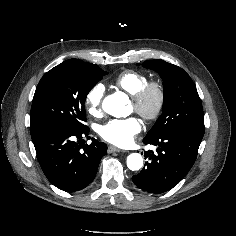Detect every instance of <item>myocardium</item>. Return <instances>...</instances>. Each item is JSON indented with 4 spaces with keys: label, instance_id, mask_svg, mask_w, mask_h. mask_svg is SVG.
Instances as JSON below:
<instances>
[{
    "label": "myocardium",
    "instance_id": "obj_1",
    "mask_svg": "<svg viewBox=\"0 0 236 236\" xmlns=\"http://www.w3.org/2000/svg\"><path fill=\"white\" fill-rule=\"evenodd\" d=\"M153 104H150L151 99ZM135 111L145 120H156L165 104V90L161 82L148 81L135 95L132 96Z\"/></svg>",
    "mask_w": 236,
    "mask_h": 236
}]
</instances>
